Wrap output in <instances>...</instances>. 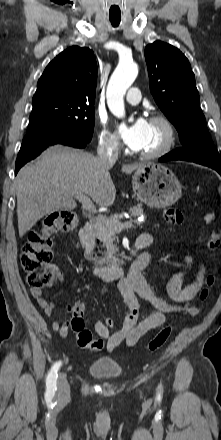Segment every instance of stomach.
Segmentation results:
<instances>
[{
    "label": "stomach",
    "mask_w": 221,
    "mask_h": 440,
    "mask_svg": "<svg viewBox=\"0 0 221 440\" xmlns=\"http://www.w3.org/2000/svg\"><path fill=\"white\" fill-rule=\"evenodd\" d=\"M132 185L143 203L156 208L169 207L182 195L181 184L174 172L157 163H146L136 169Z\"/></svg>",
    "instance_id": "obj_1"
}]
</instances>
